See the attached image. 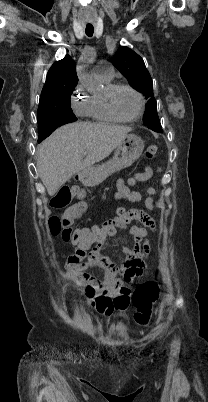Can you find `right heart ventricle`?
<instances>
[{
  "label": "right heart ventricle",
  "instance_id": "e07e8e85",
  "mask_svg": "<svg viewBox=\"0 0 208 402\" xmlns=\"http://www.w3.org/2000/svg\"><path fill=\"white\" fill-rule=\"evenodd\" d=\"M105 86L103 91L93 93L91 96L90 110H89V122L95 126H112L121 123L117 120L109 111L106 101L107 91L114 86L112 79H106L101 77Z\"/></svg>",
  "mask_w": 208,
  "mask_h": 402
}]
</instances>
